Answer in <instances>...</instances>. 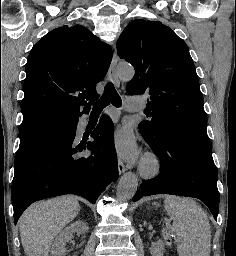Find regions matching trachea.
Segmentation results:
<instances>
[{
    "label": "trachea",
    "mask_w": 236,
    "mask_h": 256,
    "mask_svg": "<svg viewBox=\"0 0 236 256\" xmlns=\"http://www.w3.org/2000/svg\"><path fill=\"white\" fill-rule=\"evenodd\" d=\"M110 103H112V105L115 106L116 108H119L122 105L121 97L118 95L112 83H108L105 86L104 94L102 95L100 100H98L94 104L92 113H101L103 108H105Z\"/></svg>",
    "instance_id": "trachea-1"
}]
</instances>
